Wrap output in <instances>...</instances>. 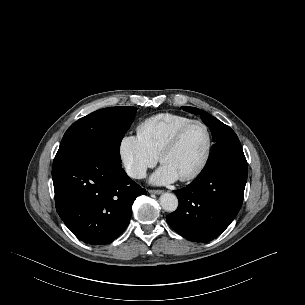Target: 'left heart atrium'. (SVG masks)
Returning a JSON list of instances; mask_svg holds the SVG:
<instances>
[{"instance_id":"39dd6f15","label":"left heart atrium","mask_w":305,"mask_h":305,"mask_svg":"<svg viewBox=\"0 0 305 305\" xmlns=\"http://www.w3.org/2000/svg\"><path fill=\"white\" fill-rule=\"evenodd\" d=\"M178 179V176L168 166L162 164V166L152 175L151 182L155 184H167L174 182Z\"/></svg>"}]
</instances>
